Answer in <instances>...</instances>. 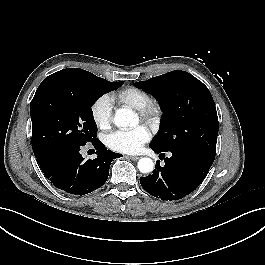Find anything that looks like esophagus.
Masks as SVG:
<instances>
[{"instance_id":"obj_1","label":"esophagus","mask_w":265,"mask_h":265,"mask_svg":"<svg viewBox=\"0 0 265 265\" xmlns=\"http://www.w3.org/2000/svg\"><path fill=\"white\" fill-rule=\"evenodd\" d=\"M127 158L133 160V161H137L138 159H140L139 156H127Z\"/></svg>"}]
</instances>
